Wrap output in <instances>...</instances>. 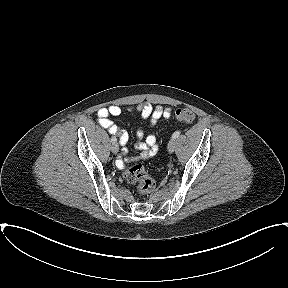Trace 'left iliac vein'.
Here are the masks:
<instances>
[{"mask_svg": "<svg viewBox=\"0 0 288 288\" xmlns=\"http://www.w3.org/2000/svg\"><path fill=\"white\" fill-rule=\"evenodd\" d=\"M167 148H168V151H169L170 153L174 152V150H175V148H176V141H175L174 138H172V139L169 141Z\"/></svg>", "mask_w": 288, "mask_h": 288, "instance_id": "left-iliac-vein-1", "label": "left iliac vein"}]
</instances>
